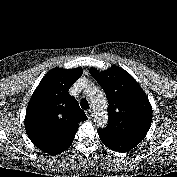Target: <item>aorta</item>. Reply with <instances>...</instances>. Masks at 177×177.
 I'll use <instances>...</instances> for the list:
<instances>
[{
	"label": "aorta",
	"mask_w": 177,
	"mask_h": 177,
	"mask_svg": "<svg viewBox=\"0 0 177 177\" xmlns=\"http://www.w3.org/2000/svg\"><path fill=\"white\" fill-rule=\"evenodd\" d=\"M90 102L92 106L97 110L98 125L104 126L107 123V101L105 96L101 92L95 91L90 94Z\"/></svg>",
	"instance_id": "1"
}]
</instances>
